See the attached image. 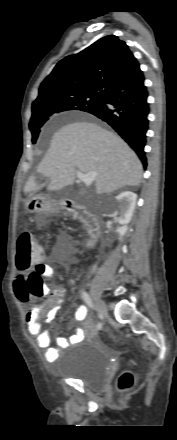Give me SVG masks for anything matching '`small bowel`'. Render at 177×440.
Returning <instances> with one entry per match:
<instances>
[{"instance_id":"obj_1","label":"small bowel","mask_w":177,"mask_h":440,"mask_svg":"<svg viewBox=\"0 0 177 440\" xmlns=\"http://www.w3.org/2000/svg\"><path fill=\"white\" fill-rule=\"evenodd\" d=\"M63 259H67V254H62ZM47 271L46 275L48 276H54V266L47 265ZM15 294L20 299L23 300V297L25 295V289L22 287L21 284H16L15 286ZM64 297V289L61 286H55L50 292L49 299L44 302L42 305L37 306L35 308L30 309L25 316L26 325L28 328V331L30 334L34 335L36 337V343L37 345L45 349V358L49 362L56 361L60 355L61 351L64 348H67L71 345H74L84 338V330L82 328H78L76 333L74 335H71L70 337H57L56 338V347H50V335L47 331H44L42 329V326L39 322V319L43 313H45V322L49 323L51 322ZM86 318V308L83 306H80L77 308L74 320L75 321H83Z\"/></svg>"}]
</instances>
